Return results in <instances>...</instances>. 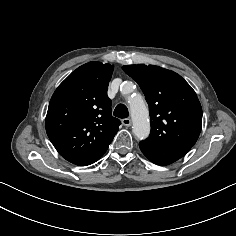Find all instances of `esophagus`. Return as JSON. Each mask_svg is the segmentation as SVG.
<instances>
[{"label": "esophagus", "instance_id": "1", "mask_svg": "<svg viewBox=\"0 0 236 236\" xmlns=\"http://www.w3.org/2000/svg\"><path fill=\"white\" fill-rule=\"evenodd\" d=\"M122 124L126 127H129V126H131L132 121H131L130 118H125V119L122 120Z\"/></svg>", "mask_w": 236, "mask_h": 236}]
</instances>
